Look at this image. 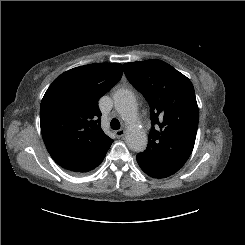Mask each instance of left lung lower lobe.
<instances>
[{
	"label": "left lung lower lobe",
	"mask_w": 245,
	"mask_h": 245,
	"mask_svg": "<svg viewBox=\"0 0 245 245\" xmlns=\"http://www.w3.org/2000/svg\"><path fill=\"white\" fill-rule=\"evenodd\" d=\"M140 168L153 178H165L176 173L181 167L163 158H153L144 153L137 154Z\"/></svg>",
	"instance_id": "left-lung-lower-lobe-1"
}]
</instances>
